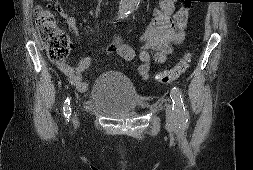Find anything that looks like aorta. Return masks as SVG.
Segmentation results:
<instances>
[{"mask_svg":"<svg viewBox=\"0 0 253 170\" xmlns=\"http://www.w3.org/2000/svg\"><path fill=\"white\" fill-rule=\"evenodd\" d=\"M141 0H120L119 14L121 17H125L132 11L136 10Z\"/></svg>","mask_w":253,"mask_h":170,"instance_id":"1","label":"aorta"}]
</instances>
